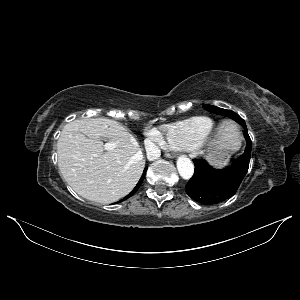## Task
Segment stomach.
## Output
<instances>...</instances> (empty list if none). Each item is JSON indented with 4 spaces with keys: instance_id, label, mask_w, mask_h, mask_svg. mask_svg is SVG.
<instances>
[{
    "instance_id": "stomach-1",
    "label": "stomach",
    "mask_w": 300,
    "mask_h": 300,
    "mask_svg": "<svg viewBox=\"0 0 300 300\" xmlns=\"http://www.w3.org/2000/svg\"><path fill=\"white\" fill-rule=\"evenodd\" d=\"M223 128H228L231 131V134L234 136V144L224 147H213L212 151L208 155V159L215 166L225 165L230 157V153L237 150L240 142L238 137L232 132V129L229 125L223 126Z\"/></svg>"
}]
</instances>
